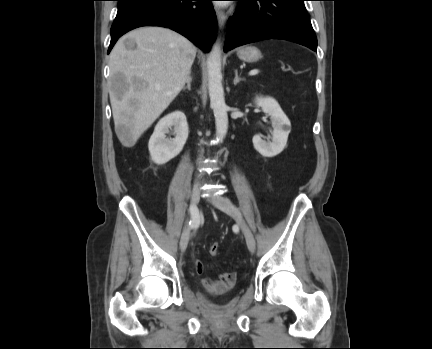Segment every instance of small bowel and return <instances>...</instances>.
Masks as SVG:
<instances>
[{"label": "small bowel", "instance_id": "1", "mask_svg": "<svg viewBox=\"0 0 432 349\" xmlns=\"http://www.w3.org/2000/svg\"><path fill=\"white\" fill-rule=\"evenodd\" d=\"M196 270L198 273H202L203 268L200 262L196 263ZM235 280L236 275L234 272H225L215 278H204L202 284L210 292H221L231 287Z\"/></svg>", "mask_w": 432, "mask_h": 349}]
</instances>
